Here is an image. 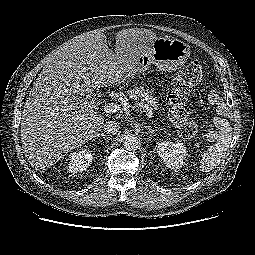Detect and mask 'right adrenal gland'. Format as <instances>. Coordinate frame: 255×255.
Wrapping results in <instances>:
<instances>
[{"mask_svg":"<svg viewBox=\"0 0 255 255\" xmlns=\"http://www.w3.org/2000/svg\"><path fill=\"white\" fill-rule=\"evenodd\" d=\"M100 136H102V138H103L104 140H108V139H109L108 137L105 136L104 133H98V134H97V137H100Z\"/></svg>","mask_w":255,"mask_h":255,"instance_id":"right-adrenal-gland-1","label":"right adrenal gland"}]
</instances>
